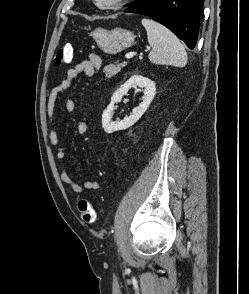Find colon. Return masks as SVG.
<instances>
[{"label":"colon","instance_id":"obj_1","mask_svg":"<svg viewBox=\"0 0 249 294\" xmlns=\"http://www.w3.org/2000/svg\"><path fill=\"white\" fill-rule=\"evenodd\" d=\"M73 56V47L70 44L61 46L55 56L54 64L55 66L67 65L72 61ZM78 210L81 216V219L86 224H92L96 220V212L92 204L86 200L81 199L78 203Z\"/></svg>","mask_w":249,"mask_h":294}]
</instances>
